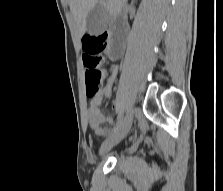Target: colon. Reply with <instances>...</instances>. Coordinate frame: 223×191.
Wrapping results in <instances>:
<instances>
[{"instance_id": "1", "label": "colon", "mask_w": 223, "mask_h": 191, "mask_svg": "<svg viewBox=\"0 0 223 191\" xmlns=\"http://www.w3.org/2000/svg\"><path fill=\"white\" fill-rule=\"evenodd\" d=\"M108 41L106 33L87 34L83 38V63L86 68V95L94 97L99 93L102 81L109 76L103 67L102 51Z\"/></svg>"}]
</instances>
